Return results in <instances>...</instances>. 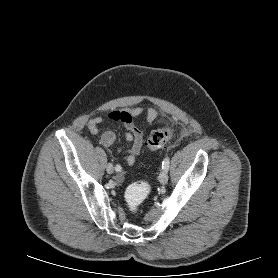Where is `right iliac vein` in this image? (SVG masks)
Returning a JSON list of instances; mask_svg holds the SVG:
<instances>
[{
  "label": "right iliac vein",
  "mask_w": 278,
  "mask_h": 278,
  "mask_svg": "<svg viewBox=\"0 0 278 278\" xmlns=\"http://www.w3.org/2000/svg\"><path fill=\"white\" fill-rule=\"evenodd\" d=\"M106 171H107V173L112 174L113 171H114L113 165L109 163V164L106 166Z\"/></svg>",
  "instance_id": "1"
}]
</instances>
